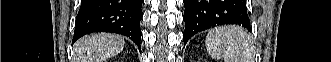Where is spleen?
Wrapping results in <instances>:
<instances>
[{
  "label": "spleen",
  "mask_w": 331,
  "mask_h": 62,
  "mask_svg": "<svg viewBox=\"0 0 331 62\" xmlns=\"http://www.w3.org/2000/svg\"><path fill=\"white\" fill-rule=\"evenodd\" d=\"M205 43L214 59L223 57L225 62H252L254 50L251 38L239 27L215 28L208 33Z\"/></svg>",
  "instance_id": "spleen-1"
}]
</instances>
